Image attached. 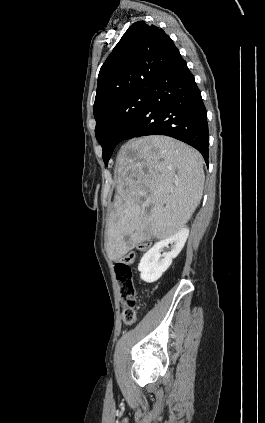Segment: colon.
Listing matches in <instances>:
<instances>
[{"label": "colon", "mask_w": 265, "mask_h": 423, "mask_svg": "<svg viewBox=\"0 0 265 423\" xmlns=\"http://www.w3.org/2000/svg\"><path fill=\"white\" fill-rule=\"evenodd\" d=\"M147 245H140L144 249ZM135 255L129 252L116 260L114 265L116 279L121 288V300L124 305L123 320L126 324H132L136 319L135 307L137 305V292L133 282L132 263Z\"/></svg>", "instance_id": "colon-1"}]
</instances>
